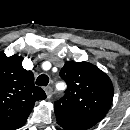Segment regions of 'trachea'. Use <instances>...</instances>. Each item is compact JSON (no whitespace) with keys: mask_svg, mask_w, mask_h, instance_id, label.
Listing matches in <instances>:
<instances>
[{"mask_svg":"<svg viewBox=\"0 0 130 130\" xmlns=\"http://www.w3.org/2000/svg\"><path fill=\"white\" fill-rule=\"evenodd\" d=\"M49 83V77L45 74L40 75L36 79V85L38 86H46Z\"/></svg>","mask_w":130,"mask_h":130,"instance_id":"trachea-1","label":"trachea"}]
</instances>
